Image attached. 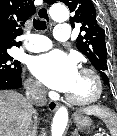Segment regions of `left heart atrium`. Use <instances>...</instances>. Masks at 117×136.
<instances>
[{
	"mask_svg": "<svg viewBox=\"0 0 117 136\" xmlns=\"http://www.w3.org/2000/svg\"><path fill=\"white\" fill-rule=\"evenodd\" d=\"M30 69L45 86L66 93L78 75L75 59L60 50L34 57Z\"/></svg>",
	"mask_w": 117,
	"mask_h": 136,
	"instance_id": "obj_1",
	"label": "left heart atrium"
}]
</instances>
